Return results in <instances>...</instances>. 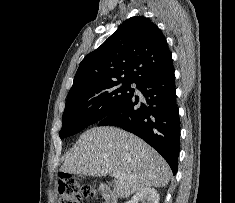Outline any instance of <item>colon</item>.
Listing matches in <instances>:
<instances>
[{
	"instance_id": "colon-1",
	"label": "colon",
	"mask_w": 235,
	"mask_h": 203,
	"mask_svg": "<svg viewBox=\"0 0 235 203\" xmlns=\"http://www.w3.org/2000/svg\"><path fill=\"white\" fill-rule=\"evenodd\" d=\"M57 190L58 203H82L84 198H91L95 195L91 186L80 185L70 174L59 176Z\"/></svg>"
}]
</instances>
